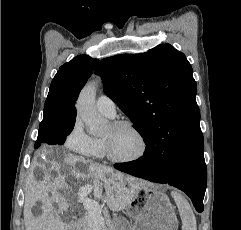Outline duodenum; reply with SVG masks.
Segmentation results:
<instances>
[{
    "label": "duodenum",
    "mask_w": 241,
    "mask_h": 230,
    "mask_svg": "<svg viewBox=\"0 0 241 230\" xmlns=\"http://www.w3.org/2000/svg\"><path fill=\"white\" fill-rule=\"evenodd\" d=\"M77 223H78V218L75 217L72 219L71 223H70V228H75L77 226Z\"/></svg>",
    "instance_id": "duodenum-1"
}]
</instances>
